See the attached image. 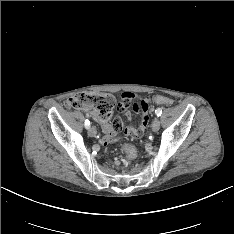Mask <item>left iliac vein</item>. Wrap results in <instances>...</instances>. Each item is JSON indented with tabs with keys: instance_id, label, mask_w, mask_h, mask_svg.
<instances>
[{
	"instance_id": "left-iliac-vein-1",
	"label": "left iliac vein",
	"mask_w": 234,
	"mask_h": 234,
	"mask_svg": "<svg viewBox=\"0 0 234 234\" xmlns=\"http://www.w3.org/2000/svg\"><path fill=\"white\" fill-rule=\"evenodd\" d=\"M152 130L153 132H157L160 128V121L157 117L154 118L153 122H152Z\"/></svg>"
}]
</instances>
